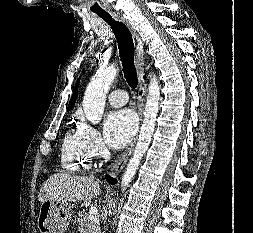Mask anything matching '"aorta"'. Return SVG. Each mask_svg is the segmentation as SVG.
Instances as JSON below:
<instances>
[{
  "label": "aorta",
  "instance_id": "obj_1",
  "mask_svg": "<svg viewBox=\"0 0 253 233\" xmlns=\"http://www.w3.org/2000/svg\"><path fill=\"white\" fill-rule=\"evenodd\" d=\"M117 73L118 69L113 65L105 68H100L86 88L83 98V110L87 120L92 124H97L102 119L106 94ZM159 98V81L157 77L153 75L151 76L148 87V95L144 110V119L140 129L138 141L136 143L133 156L129 160V163L122 177L121 187L123 190L133 179L140 165L141 159L149 148L159 111Z\"/></svg>",
  "mask_w": 253,
  "mask_h": 233
}]
</instances>
